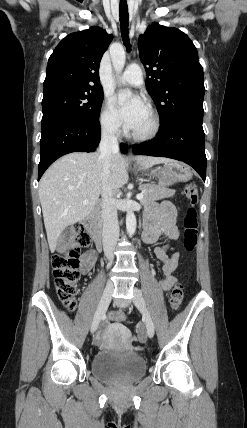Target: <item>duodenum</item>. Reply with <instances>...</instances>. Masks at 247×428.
I'll return each mask as SVG.
<instances>
[{"label": "duodenum", "instance_id": "1", "mask_svg": "<svg viewBox=\"0 0 247 428\" xmlns=\"http://www.w3.org/2000/svg\"><path fill=\"white\" fill-rule=\"evenodd\" d=\"M83 225L86 227V229L90 232L94 244L98 250H101L103 247V234L100 228V225L98 223V213L97 211H94L90 215H88L83 220Z\"/></svg>", "mask_w": 247, "mask_h": 428}]
</instances>
